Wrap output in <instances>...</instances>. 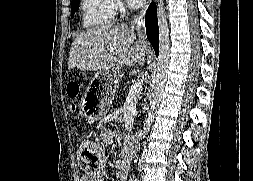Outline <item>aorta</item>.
Here are the masks:
<instances>
[{
    "label": "aorta",
    "mask_w": 253,
    "mask_h": 181,
    "mask_svg": "<svg viewBox=\"0 0 253 181\" xmlns=\"http://www.w3.org/2000/svg\"><path fill=\"white\" fill-rule=\"evenodd\" d=\"M157 19L159 29V54L157 59L155 87L152 107L148 114L147 123H145V140L147 139V130L153 128V119H155V108L159 106L162 98L163 88L167 79V72L170 58V40H169V28L167 22L166 11L164 7V0H157ZM143 141L144 143L146 141Z\"/></svg>",
    "instance_id": "obj_1"
}]
</instances>
